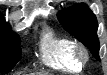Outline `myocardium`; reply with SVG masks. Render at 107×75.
I'll return each mask as SVG.
<instances>
[{"label": "myocardium", "instance_id": "f54148a6", "mask_svg": "<svg viewBox=\"0 0 107 75\" xmlns=\"http://www.w3.org/2000/svg\"><path fill=\"white\" fill-rule=\"evenodd\" d=\"M74 55L75 58L78 60V62H80L81 64L87 62L89 58L87 49L82 44H78V43H75Z\"/></svg>", "mask_w": 107, "mask_h": 75}]
</instances>
